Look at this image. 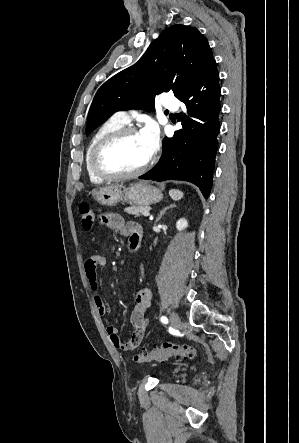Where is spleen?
Returning <instances> with one entry per match:
<instances>
[{
  "label": "spleen",
  "mask_w": 299,
  "mask_h": 443,
  "mask_svg": "<svg viewBox=\"0 0 299 443\" xmlns=\"http://www.w3.org/2000/svg\"><path fill=\"white\" fill-rule=\"evenodd\" d=\"M169 195L171 196V198L175 201L180 200L183 197V192L176 190V189H172L169 191Z\"/></svg>",
  "instance_id": "obj_1"
}]
</instances>
